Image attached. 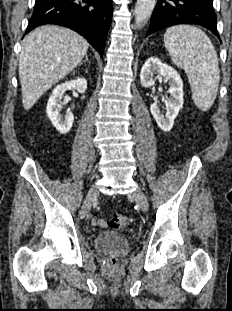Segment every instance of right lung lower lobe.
Returning <instances> with one entry per match:
<instances>
[{"instance_id": "right-lung-lower-lobe-1", "label": "right lung lower lobe", "mask_w": 232, "mask_h": 311, "mask_svg": "<svg viewBox=\"0 0 232 311\" xmlns=\"http://www.w3.org/2000/svg\"><path fill=\"white\" fill-rule=\"evenodd\" d=\"M112 12L111 0H36L25 34L40 25H62L84 36L102 57Z\"/></svg>"}]
</instances>
